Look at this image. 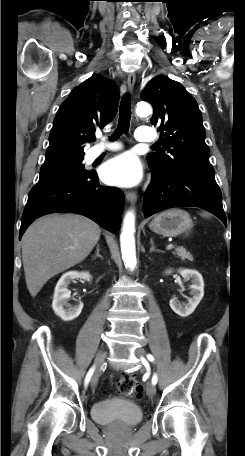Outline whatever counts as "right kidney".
<instances>
[{"label": "right kidney", "mask_w": 245, "mask_h": 456, "mask_svg": "<svg viewBox=\"0 0 245 456\" xmlns=\"http://www.w3.org/2000/svg\"><path fill=\"white\" fill-rule=\"evenodd\" d=\"M84 279L90 281L91 276L88 272L69 271L61 276L54 291L52 307L56 315L64 321H71L77 318L83 308V303L72 306L68 303L70 291L68 285L75 279Z\"/></svg>", "instance_id": "ca27d5eb"}]
</instances>
